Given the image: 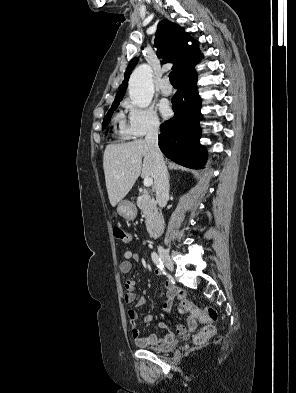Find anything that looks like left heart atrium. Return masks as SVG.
I'll return each mask as SVG.
<instances>
[{"instance_id":"left-heart-atrium-1","label":"left heart atrium","mask_w":296,"mask_h":393,"mask_svg":"<svg viewBox=\"0 0 296 393\" xmlns=\"http://www.w3.org/2000/svg\"><path fill=\"white\" fill-rule=\"evenodd\" d=\"M160 111L164 117H169L171 114V108L167 103H162L160 105Z\"/></svg>"}]
</instances>
